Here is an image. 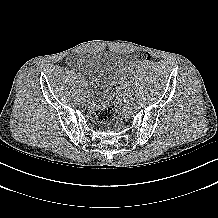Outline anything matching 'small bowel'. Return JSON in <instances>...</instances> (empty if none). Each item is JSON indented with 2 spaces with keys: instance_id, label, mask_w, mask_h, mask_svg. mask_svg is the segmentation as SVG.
<instances>
[{
  "instance_id": "1",
  "label": "small bowel",
  "mask_w": 218,
  "mask_h": 218,
  "mask_svg": "<svg viewBox=\"0 0 218 218\" xmlns=\"http://www.w3.org/2000/svg\"><path fill=\"white\" fill-rule=\"evenodd\" d=\"M67 61L70 65L75 66L77 64V57L71 55L68 57Z\"/></svg>"
}]
</instances>
